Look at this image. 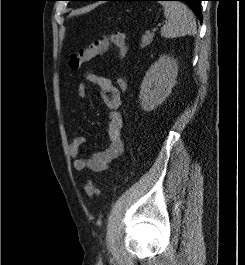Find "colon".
<instances>
[{
    "instance_id": "5ec220e1",
    "label": "colon",
    "mask_w": 245,
    "mask_h": 265,
    "mask_svg": "<svg viewBox=\"0 0 245 265\" xmlns=\"http://www.w3.org/2000/svg\"><path fill=\"white\" fill-rule=\"evenodd\" d=\"M111 47H116L120 59H124L128 52V45L126 36L123 32H114L108 35H102L91 42L88 46L77 50L69 57L68 65L73 71H77L84 63H87L92 58L102 55L107 52ZM118 88L121 91L127 89V80L125 77H120L117 81ZM86 195L89 198H94L99 194L96 185L90 181L84 186Z\"/></svg>"
}]
</instances>
